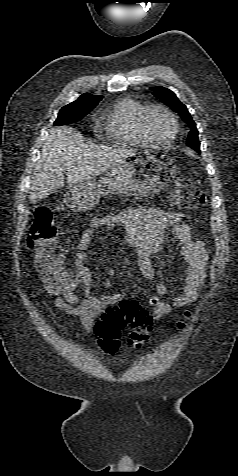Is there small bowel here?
Here are the masks:
<instances>
[{"instance_id": "c3829d8e", "label": "small bowel", "mask_w": 238, "mask_h": 476, "mask_svg": "<svg viewBox=\"0 0 238 476\" xmlns=\"http://www.w3.org/2000/svg\"><path fill=\"white\" fill-rule=\"evenodd\" d=\"M180 219V213L154 208H130L118 214L90 219L74 255V272H70L75 279L74 283L56 289L48 287L54 305L67 314L78 316L84 330L91 334L95 331L96 320L101 318L108 307L126 300L122 293H106L99 297L94 295L91 272L85 264L90 257L89 247L93 238L105 229L116 227L123 229L127 243L137 249L138 266L147 279L155 277L151 257L163 249L168 232L180 246V267L185 275L181 293L170 304L166 300L167 286L164 283L157 284L156 294L149 298L153 321L169 314L173 307L180 308L195 301L204 286L207 254L203 243L193 238L190 227L181 223ZM78 285L84 286L83 297L75 290ZM102 287L110 290L113 281L103 280Z\"/></svg>"}]
</instances>
